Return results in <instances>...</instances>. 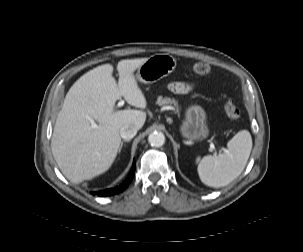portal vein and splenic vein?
<instances>
[{
    "instance_id": "portal-vein-and-splenic-vein-1",
    "label": "portal vein and splenic vein",
    "mask_w": 303,
    "mask_h": 252,
    "mask_svg": "<svg viewBox=\"0 0 303 252\" xmlns=\"http://www.w3.org/2000/svg\"><path fill=\"white\" fill-rule=\"evenodd\" d=\"M123 104H124V101L121 100L118 103L117 107H121V106H123ZM91 126H92V128H97L98 127V125L93 120H91ZM210 148H211V150L215 149V146H214L213 143L210 144ZM223 150H225V149H223Z\"/></svg>"
}]
</instances>
